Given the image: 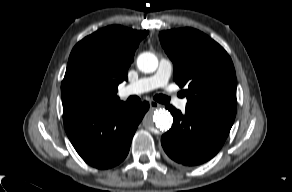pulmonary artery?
Returning a JSON list of instances; mask_svg holds the SVG:
<instances>
[{"label": "pulmonary artery", "mask_w": 292, "mask_h": 192, "mask_svg": "<svg viewBox=\"0 0 292 192\" xmlns=\"http://www.w3.org/2000/svg\"><path fill=\"white\" fill-rule=\"evenodd\" d=\"M173 71L172 62L165 57H161L156 72L150 76L140 78L139 80L127 85L120 91V95L125 97L130 94H140L157 88L165 87ZM171 100L177 108L184 111L187 105L186 99L172 97Z\"/></svg>", "instance_id": "e3ab8cb5"}]
</instances>
